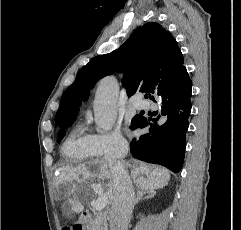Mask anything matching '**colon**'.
<instances>
[{
  "instance_id": "obj_1",
  "label": "colon",
  "mask_w": 241,
  "mask_h": 230,
  "mask_svg": "<svg viewBox=\"0 0 241 230\" xmlns=\"http://www.w3.org/2000/svg\"><path fill=\"white\" fill-rule=\"evenodd\" d=\"M63 230H72V229L69 227H64Z\"/></svg>"
}]
</instances>
